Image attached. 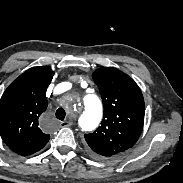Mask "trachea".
<instances>
[{"mask_svg": "<svg viewBox=\"0 0 183 183\" xmlns=\"http://www.w3.org/2000/svg\"><path fill=\"white\" fill-rule=\"evenodd\" d=\"M65 115H66V113H65V110H64L63 108H58V109L56 110V117H57L59 120L63 121L64 118H65Z\"/></svg>", "mask_w": 183, "mask_h": 183, "instance_id": "3493384b", "label": "trachea"}]
</instances>
